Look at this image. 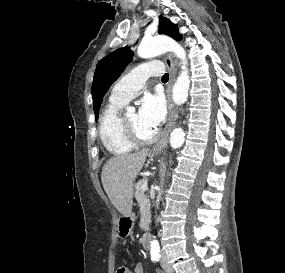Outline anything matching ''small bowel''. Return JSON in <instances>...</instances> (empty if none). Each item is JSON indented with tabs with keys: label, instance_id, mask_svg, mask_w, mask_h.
<instances>
[{
	"label": "small bowel",
	"instance_id": "1",
	"mask_svg": "<svg viewBox=\"0 0 285 273\" xmlns=\"http://www.w3.org/2000/svg\"><path fill=\"white\" fill-rule=\"evenodd\" d=\"M128 273H145L144 267L142 264H136L133 271H129ZM155 273H162L161 271L157 270Z\"/></svg>",
	"mask_w": 285,
	"mask_h": 273
}]
</instances>
